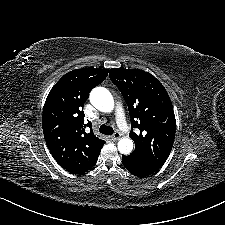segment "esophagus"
Segmentation results:
<instances>
[{"label": "esophagus", "mask_w": 225, "mask_h": 225, "mask_svg": "<svg viewBox=\"0 0 225 225\" xmlns=\"http://www.w3.org/2000/svg\"><path fill=\"white\" fill-rule=\"evenodd\" d=\"M111 137V140L116 141L121 137V134L119 132H115Z\"/></svg>", "instance_id": "obj_1"}]
</instances>
